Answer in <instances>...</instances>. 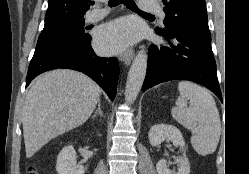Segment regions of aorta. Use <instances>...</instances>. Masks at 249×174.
I'll use <instances>...</instances> for the list:
<instances>
[{
  "label": "aorta",
  "mask_w": 249,
  "mask_h": 174,
  "mask_svg": "<svg viewBox=\"0 0 249 174\" xmlns=\"http://www.w3.org/2000/svg\"><path fill=\"white\" fill-rule=\"evenodd\" d=\"M148 55L145 50L138 51L130 67L125 95L128 103H133L142 87L147 70Z\"/></svg>",
  "instance_id": "obj_1"
}]
</instances>
